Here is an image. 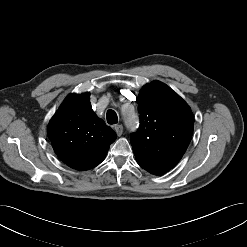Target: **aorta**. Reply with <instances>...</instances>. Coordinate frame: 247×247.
I'll return each instance as SVG.
<instances>
[{"instance_id":"1","label":"aorta","mask_w":247,"mask_h":247,"mask_svg":"<svg viewBox=\"0 0 247 247\" xmlns=\"http://www.w3.org/2000/svg\"><path fill=\"white\" fill-rule=\"evenodd\" d=\"M124 122L129 130H135L138 120L134 110H129L123 113Z\"/></svg>"}]
</instances>
